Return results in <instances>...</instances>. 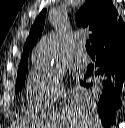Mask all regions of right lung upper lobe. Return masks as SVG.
I'll list each match as a JSON object with an SVG mask.
<instances>
[{"label":"right lung upper lobe","mask_w":125,"mask_h":128,"mask_svg":"<svg viewBox=\"0 0 125 128\" xmlns=\"http://www.w3.org/2000/svg\"><path fill=\"white\" fill-rule=\"evenodd\" d=\"M45 15L46 10H43L31 27L24 45L18 72L28 69V55L43 30ZM76 22L78 26H89V29L93 31L89 38L94 45L101 37L121 24L123 20L121 17L117 18V10L111 0H86L76 14Z\"/></svg>","instance_id":"1"}]
</instances>
